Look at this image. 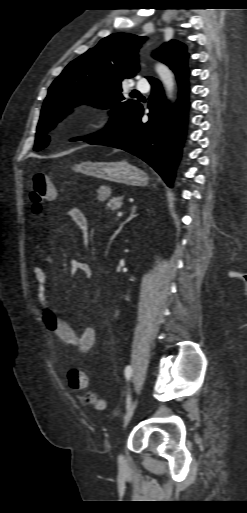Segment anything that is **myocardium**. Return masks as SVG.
<instances>
[{"instance_id": "myocardium-1", "label": "myocardium", "mask_w": 247, "mask_h": 513, "mask_svg": "<svg viewBox=\"0 0 247 513\" xmlns=\"http://www.w3.org/2000/svg\"><path fill=\"white\" fill-rule=\"evenodd\" d=\"M92 123L95 125H104L107 123V119L102 117L101 115H94L92 117Z\"/></svg>"}]
</instances>
